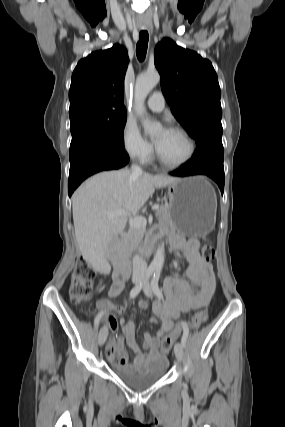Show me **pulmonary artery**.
Returning <instances> with one entry per match:
<instances>
[{
    "label": "pulmonary artery",
    "mask_w": 285,
    "mask_h": 427,
    "mask_svg": "<svg viewBox=\"0 0 285 427\" xmlns=\"http://www.w3.org/2000/svg\"><path fill=\"white\" fill-rule=\"evenodd\" d=\"M148 107L155 111L160 112L165 107V99L160 91L154 92L147 100Z\"/></svg>",
    "instance_id": "pulmonary-artery-1"
}]
</instances>
